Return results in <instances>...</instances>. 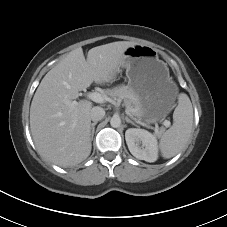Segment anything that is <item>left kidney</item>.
<instances>
[{
	"mask_svg": "<svg viewBox=\"0 0 227 227\" xmlns=\"http://www.w3.org/2000/svg\"><path fill=\"white\" fill-rule=\"evenodd\" d=\"M129 151L133 156L146 162H155L158 158L156 137L144 129L129 128L125 132Z\"/></svg>",
	"mask_w": 227,
	"mask_h": 227,
	"instance_id": "1",
	"label": "left kidney"
}]
</instances>
